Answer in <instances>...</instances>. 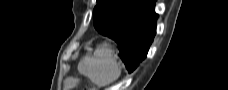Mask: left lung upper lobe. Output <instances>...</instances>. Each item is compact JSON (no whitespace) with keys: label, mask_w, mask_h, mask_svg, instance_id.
<instances>
[{"label":"left lung upper lobe","mask_w":228,"mask_h":90,"mask_svg":"<svg viewBox=\"0 0 228 90\" xmlns=\"http://www.w3.org/2000/svg\"><path fill=\"white\" fill-rule=\"evenodd\" d=\"M131 1L132 0H97V5L93 11L95 29L101 34L110 26L114 25L123 11L126 12L132 9Z\"/></svg>","instance_id":"5c2ea615"}]
</instances>
